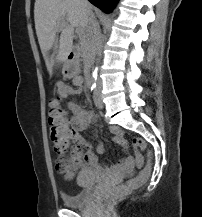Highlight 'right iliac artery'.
<instances>
[{
  "label": "right iliac artery",
  "mask_w": 202,
  "mask_h": 217,
  "mask_svg": "<svg viewBox=\"0 0 202 217\" xmlns=\"http://www.w3.org/2000/svg\"><path fill=\"white\" fill-rule=\"evenodd\" d=\"M89 87L91 91H94L96 89V83H90Z\"/></svg>",
  "instance_id": "right-iliac-artery-1"
}]
</instances>
